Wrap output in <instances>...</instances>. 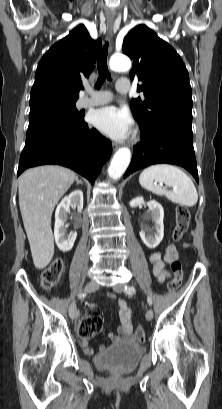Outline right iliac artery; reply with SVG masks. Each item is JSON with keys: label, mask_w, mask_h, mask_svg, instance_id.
Returning <instances> with one entry per match:
<instances>
[{"label": "right iliac artery", "mask_w": 222, "mask_h": 409, "mask_svg": "<svg viewBox=\"0 0 222 409\" xmlns=\"http://www.w3.org/2000/svg\"><path fill=\"white\" fill-rule=\"evenodd\" d=\"M78 296H79V298H83L85 295L80 293Z\"/></svg>", "instance_id": "82829eb1"}]
</instances>
